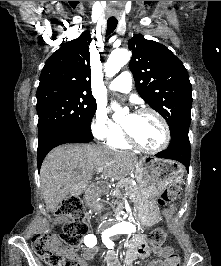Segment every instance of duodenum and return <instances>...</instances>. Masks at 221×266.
Instances as JSON below:
<instances>
[{
    "label": "duodenum",
    "instance_id": "duodenum-1",
    "mask_svg": "<svg viewBox=\"0 0 221 266\" xmlns=\"http://www.w3.org/2000/svg\"><path fill=\"white\" fill-rule=\"evenodd\" d=\"M102 192L98 189H96V187H89L88 190L86 191V198L87 199H93L96 196L101 195ZM89 206H96V201H89Z\"/></svg>",
    "mask_w": 221,
    "mask_h": 266
}]
</instances>
